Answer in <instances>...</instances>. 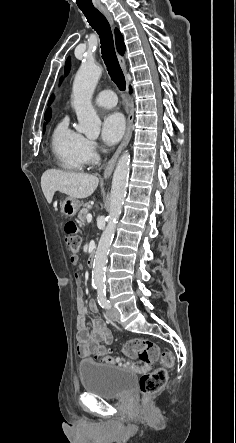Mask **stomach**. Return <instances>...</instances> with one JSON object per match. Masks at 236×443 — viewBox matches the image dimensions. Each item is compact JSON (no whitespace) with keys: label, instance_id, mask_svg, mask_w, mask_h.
<instances>
[{"label":"stomach","instance_id":"stomach-1","mask_svg":"<svg viewBox=\"0 0 236 443\" xmlns=\"http://www.w3.org/2000/svg\"><path fill=\"white\" fill-rule=\"evenodd\" d=\"M60 206L62 214L67 217H73L79 211L81 202L76 198L67 197L61 202Z\"/></svg>","mask_w":236,"mask_h":443}]
</instances>
